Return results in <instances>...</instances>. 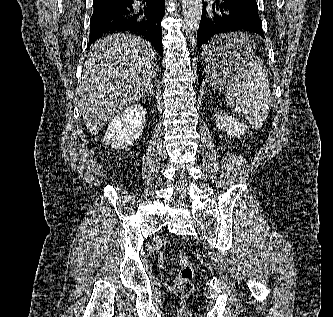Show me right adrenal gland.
Masks as SVG:
<instances>
[{
	"instance_id": "right-adrenal-gland-1",
	"label": "right adrenal gland",
	"mask_w": 333,
	"mask_h": 317,
	"mask_svg": "<svg viewBox=\"0 0 333 317\" xmlns=\"http://www.w3.org/2000/svg\"><path fill=\"white\" fill-rule=\"evenodd\" d=\"M148 93H149L150 95H153V90L150 89Z\"/></svg>"
}]
</instances>
